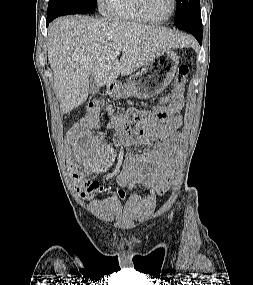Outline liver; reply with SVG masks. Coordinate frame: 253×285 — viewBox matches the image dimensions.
<instances>
[{"label":"liver","instance_id":"obj_1","mask_svg":"<svg viewBox=\"0 0 253 285\" xmlns=\"http://www.w3.org/2000/svg\"><path fill=\"white\" fill-rule=\"evenodd\" d=\"M189 43L188 37L163 27L79 15L56 19L49 27L48 60L61 112L87 100L90 75L102 87L136 71L157 53Z\"/></svg>","mask_w":253,"mask_h":285}]
</instances>
